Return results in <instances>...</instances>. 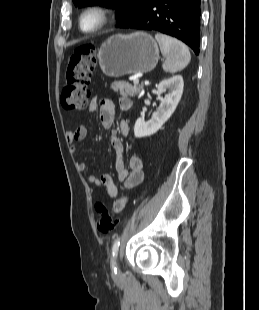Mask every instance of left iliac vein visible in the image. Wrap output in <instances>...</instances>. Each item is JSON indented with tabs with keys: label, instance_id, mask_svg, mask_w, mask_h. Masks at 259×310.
Returning <instances> with one entry per match:
<instances>
[{
	"label": "left iliac vein",
	"instance_id": "left-iliac-vein-1",
	"mask_svg": "<svg viewBox=\"0 0 259 310\" xmlns=\"http://www.w3.org/2000/svg\"><path fill=\"white\" fill-rule=\"evenodd\" d=\"M115 267H116L117 269H119V267H118V263H117V262L115 263Z\"/></svg>",
	"mask_w": 259,
	"mask_h": 310
}]
</instances>
